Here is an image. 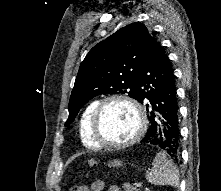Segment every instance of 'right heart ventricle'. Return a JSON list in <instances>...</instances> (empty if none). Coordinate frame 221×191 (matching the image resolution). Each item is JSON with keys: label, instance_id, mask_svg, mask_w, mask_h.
Masks as SVG:
<instances>
[{"label": "right heart ventricle", "instance_id": "right-heart-ventricle-1", "mask_svg": "<svg viewBox=\"0 0 221 191\" xmlns=\"http://www.w3.org/2000/svg\"><path fill=\"white\" fill-rule=\"evenodd\" d=\"M98 101L94 100L91 101L84 111L81 114L79 124H78V131L79 137L82 144L91 149L99 148L100 146L93 140L91 136V121L94 114V111L98 105Z\"/></svg>", "mask_w": 221, "mask_h": 191}]
</instances>
